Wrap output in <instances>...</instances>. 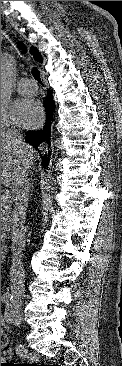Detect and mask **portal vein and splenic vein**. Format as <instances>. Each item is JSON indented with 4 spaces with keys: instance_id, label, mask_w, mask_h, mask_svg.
<instances>
[{
    "instance_id": "obj_1",
    "label": "portal vein and splenic vein",
    "mask_w": 122,
    "mask_h": 366,
    "mask_svg": "<svg viewBox=\"0 0 122 366\" xmlns=\"http://www.w3.org/2000/svg\"><path fill=\"white\" fill-rule=\"evenodd\" d=\"M9 192H5L4 194L1 195V200H5V199H9Z\"/></svg>"
}]
</instances>
